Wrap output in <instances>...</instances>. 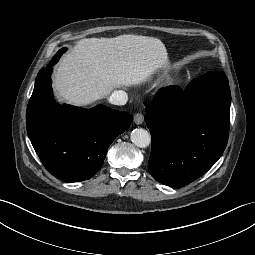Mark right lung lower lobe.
Instances as JSON below:
<instances>
[{"label": "right lung lower lobe", "instance_id": "1", "mask_svg": "<svg viewBox=\"0 0 255 255\" xmlns=\"http://www.w3.org/2000/svg\"><path fill=\"white\" fill-rule=\"evenodd\" d=\"M52 66L37 75L26 112L28 136L54 177L66 182L88 180L102 167L109 146L129 128L133 117L103 105L59 107L52 94Z\"/></svg>", "mask_w": 255, "mask_h": 255}]
</instances>
